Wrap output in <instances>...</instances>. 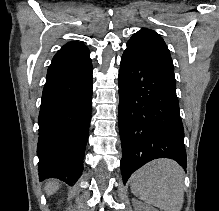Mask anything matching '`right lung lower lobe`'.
Here are the masks:
<instances>
[{
	"instance_id": "obj_1",
	"label": "right lung lower lobe",
	"mask_w": 219,
	"mask_h": 211,
	"mask_svg": "<svg viewBox=\"0 0 219 211\" xmlns=\"http://www.w3.org/2000/svg\"><path fill=\"white\" fill-rule=\"evenodd\" d=\"M91 59L52 61L39 113L40 180L72 184L83 171L92 107Z\"/></svg>"
}]
</instances>
